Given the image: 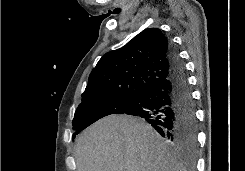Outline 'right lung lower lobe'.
<instances>
[{
  "label": "right lung lower lobe",
  "mask_w": 245,
  "mask_h": 171,
  "mask_svg": "<svg viewBox=\"0 0 245 171\" xmlns=\"http://www.w3.org/2000/svg\"><path fill=\"white\" fill-rule=\"evenodd\" d=\"M169 77L146 90L125 114L139 116L181 152L193 156L197 149V119L186 70L171 44Z\"/></svg>",
  "instance_id": "1"
}]
</instances>
